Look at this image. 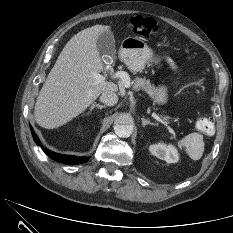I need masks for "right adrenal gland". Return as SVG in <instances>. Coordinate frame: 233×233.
<instances>
[{"mask_svg": "<svg viewBox=\"0 0 233 233\" xmlns=\"http://www.w3.org/2000/svg\"><path fill=\"white\" fill-rule=\"evenodd\" d=\"M94 108H98V109H103V108H105V106L104 105H100V104H96V103H93L92 105H91V107H90V111H92ZM90 111H89V113H90Z\"/></svg>", "mask_w": 233, "mask_h": 233, "instance_id": "2a0ac1e0", "label": "right adrenal gland"}]
</instances>
